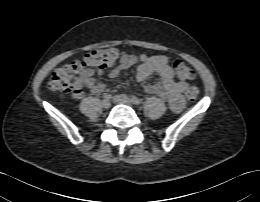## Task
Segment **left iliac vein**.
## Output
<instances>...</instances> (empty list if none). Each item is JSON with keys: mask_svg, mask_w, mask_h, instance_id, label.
<instances>
[{"mask_svg": "<svg viewBox=\"0 0 260 202\" xmlns=\"http://www.w3.org/2000/svg\"><path fill=\"white\" fill-rule=\"evenodd\" d=\"M113 101L118 104L132 105V101L125 95H116L113 97Z\"/></svg>", "mask_w": 260, "mask_h": 202, "instance_id": "obj_1", "label": "left iliac vein"}]
</instances>
